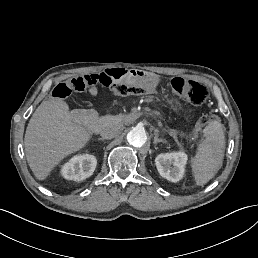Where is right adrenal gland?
<instances>
[{
  "mask_svg": "<svg viewBox=\"0 0 258 258\" xmlns=\"http://www.w3.org/2000/svg\"><path fill=\"white\" fill-rule=\"evenodd\" d=\"M99 141H103L105 143L104 138H98Z\"/></svg>",
  "mask_w": 258,
  "mask_h": 258,
  "instance_id": "right-adrenal-gland-1",
  "label": "right adrenal gland"
}]
</instances>
